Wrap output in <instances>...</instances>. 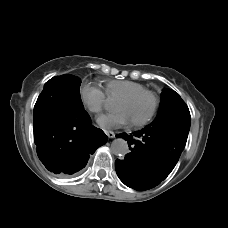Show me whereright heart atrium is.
<instances>
[{"instance_id":"d8ad5b80","label":"right heart atrium","mask_w":228,"mask_h":228,"mask_svg":"<svg viewBox=\"0 0 228 228\" xmlns=\"http://www.w3.org/2000/svg\"><path fill=\"white\" fill-rule=\"evenodd\" d=\"M81 96L85 106L92 112H99L112 105L103 92L93 85L85 84L81 89Z\"/></svg>"}]
</instances>
